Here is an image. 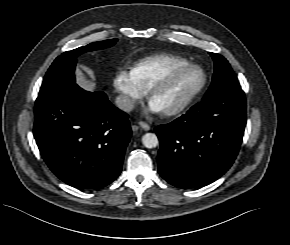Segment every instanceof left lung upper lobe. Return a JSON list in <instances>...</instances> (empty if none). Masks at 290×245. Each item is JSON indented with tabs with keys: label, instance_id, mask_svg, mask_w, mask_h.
Instances as JSON below:
<instances>
[{
	"label": "left lung upper lobe",
	"instance_id": "left-lung-upper-lobe-1",
	"mask_svg": "<svg viewBox=\"0 0 290 245\" xmlns=\"http://www.w3.org/2000/svg\"><path fill=\"white\" fill-rule=\"evenodd\" d=\"M214 60V75L212 84L204 98H209L225 90L241 89L238 79L228 61L221 55L209 53Z\"/></svg>",
	"mask_w": 290,
	"mask_h": 245
}]
</instances>
